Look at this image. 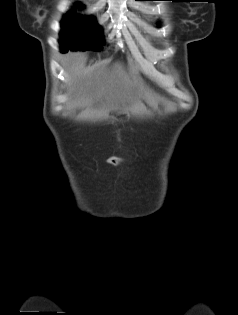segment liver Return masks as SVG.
Returning a JSON list of instances; mask_svg holds the SVG:
<instances>
[{"label":"liver","instance_id":"6515ba94","mask_svg":"<svg viewBox=\"0 0 238 315\" xmlns=\"http://www.w3.org/2000/svg\"><path fill=\"white\" fill-rule=\"evenodd\" d=\"M86 60L85 54L78 53L69 55L64 63L71 105L97 103L105 114H126L137 108L136 84L121 64L116 63L111 69L102 65L87 67Z\"/></svg>","mask_w":238,"mask_h":315}]
</instances>
